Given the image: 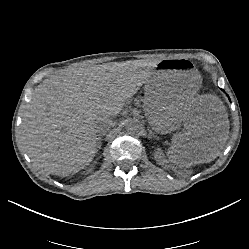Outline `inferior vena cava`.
Listing matches in <instances>:
<instances>
[{
    "label": "inferior vena cava",
    "mask_w": 249,
    "mask_h": 249,
    "mask_svg": "<svg viewBox=\"0 0 249 249\" xmlns=\"http://www.w3.org/2000/svg\"><path fill=\"white\" fill-rule=\"evenodd\" d=\"M113 125V121L107 115L99 117L95 122L97 132H107Z\"/></svg>",
    "instance_id": "obj_1"
}]
</instances>
